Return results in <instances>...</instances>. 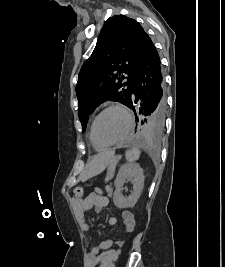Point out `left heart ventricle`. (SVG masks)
<instances>
[{
	"label": "left heart ventricle",
	"mask_w": 225,
	"mask_h": 267,
	"mask_svg": "<svg viewBox=\"0 0 225 267\" xmlns=\"http://www.w3.org/2000/svg\"><path fill=\"white\" fill-rule=\"evenodd\" d=\"M127 128V118L119 110L104 113L96 125V137L100 143H109L119 139Z\"/></svg>",
	"instance_id": "left-heart-ventricle-1"
}]
</instances>
